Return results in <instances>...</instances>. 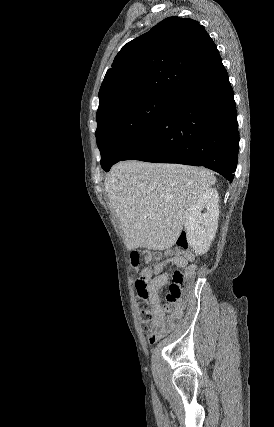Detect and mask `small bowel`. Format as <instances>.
<instances>
[{"instance_id": "1", "label": "small bowel", "mask_w": 274, "mask_h": 427, "mask_svg": "<svg viewBox=\"0 0 274 427\" xmlns=\"http://www.w3.org/2000/svg\"><path fill=\"white\" fill-rule=\"evenodd\" d=\"M164 258L163 263L153 268H145L140 274L141 280L146 283L149 298L154 304L153 317L149 326L151 343L157 342L171 332L184 312V304L181 301L173 303L167 310L160 303L158 291L169 279L168 273L163 272L164 265L173 264L183 268L186 276L193 277L196 273L195 254L192 251L171 249L164 253Z\"/></svg>"}]
</instances>
